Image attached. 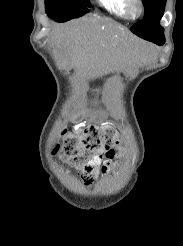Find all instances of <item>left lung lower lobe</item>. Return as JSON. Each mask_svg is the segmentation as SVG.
Here are the masks:
<instances>
[{"mask_svg":"<svg viewBox=\"0 0 183 246\" xmlns=\"http://www.w3.org/2000/svg\"><path fill=\"white\" fill-rule=\"evenodd\" d=\"M151 42H154L155 44L161 46V45H163L165 43V38H157V39L152 38Z\"/></svg>","mask_w":183,"mask_h":246,"instance_id":"1","label":"left lung lower lobe"}]
</instances>
